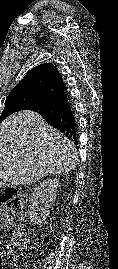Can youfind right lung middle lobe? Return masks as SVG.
Listing matches in <instances>:
<instances>
[{"label":"right lung middle lobe","mask_w":118,"mask_h":269,"mask_svg":"<svg viewBox=\"0 0 118 269\" xmlns=\"http://www.w3.org/2000/svg\"><path fill=\"white\" fill-rule=\"evenodd\" d=\"M24 109L25 104L22 100V95H8L5 108L0 116V122L10 114Z\"/></svg>","instance_id":"right-lung-middle-lobe-1"}]
</instances>
